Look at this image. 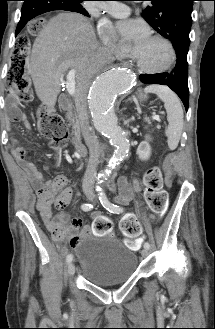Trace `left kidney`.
Listing matches in <instances>:
<instances>
[{"label":"left kidney","mask_w":215,"mask_h":329,"mask_svg":"<svg viewBox=\"0 0 215 329\" xmlns=\"http://www.w3.org/2000/svg\"><path fill=\"white\" fill-rule=\"evenodd\" d=\"M150 137L146 136L145 141H142L137 148V155L140 160H147L151 154V147L149 144Z\"/></svg>","instance_id":"obj_1"}]
</instances>
